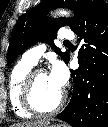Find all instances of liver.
Wrapping results in <instances>:
<instances>
[{
  "label": "liver",
  "instance_id": "liver-1",
  "mask_svg": "<svg viewBox=\"0 0 108 127\" xmlns=\"http://www.w3.org/2000/svg\"><path fill=\"white\" fill-rule=\"evenodd\" d=\"M49 124L48 121L40 120L34 122H23L18 124H13L11 127H46Z\"/></svg>",
  "mask_w": 108,
  "mask_h": 127
}]
</instances>
